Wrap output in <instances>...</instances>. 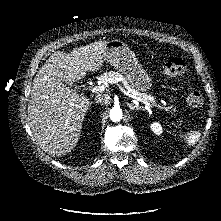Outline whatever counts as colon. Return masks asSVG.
Returning <instances> with one entry per match:
<instances>
[{
	"instance_id": "5ec220e1",
	"label": "colon",
	"mask_w": 221,
	"mask_h": 221,
	"mask_svg": "<svg viewBox=\"0 0 221 221\" xmlns=\"http://www.w3.org/2000/svg\"><path fill=\"white\" fill-rule=\"evenodd\" d=\"M163 74L167 77H180L186 71L185 63L178 57L169 59L163 66ZM187 103L191 107H199L203 104V96L199 91H192L188 94Z\"/></svg>"
}]
</instances>
